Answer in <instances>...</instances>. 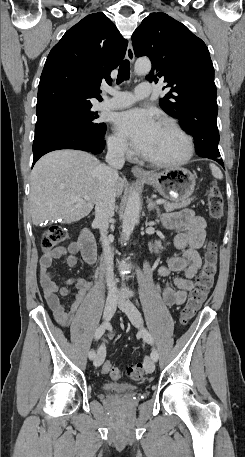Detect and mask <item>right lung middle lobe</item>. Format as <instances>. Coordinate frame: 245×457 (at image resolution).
Returning a JSON list of instances; mask_svg holds the SVG:
<instances>
[{"label":"right lung middle lobe","instance_id":"right-lung-middle-lobe-1","mask_svg":"<svg viewBox=\"0 0 245 457\" xmlns=\"http://www.w3.org/2000/svg\"><path fill=\"white\" fill-rule=\"evenodd\" d=\"M91 107L90 101L71 100L60 102L53 109L37 112L35 132L50 127L67 126L83 129L87 134L101 139L106 126L95 121L98 115L91 111Z\"/></svg>","mask_w":245,"mask_h":457}]
</instances>
